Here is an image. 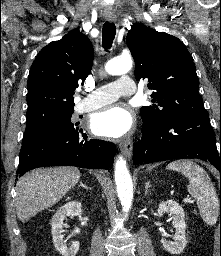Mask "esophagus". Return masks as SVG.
Returning <instances> with one entry per match:
<instances>
[{
    "label": "esophagus",
    "instance_id": "esophagus-1",
    "mask_svg": "<svg viewBox=\"0 0 221 256\" xmlns=\"http://www.w3.org/2000/svg\"><path fill=\"white\" fill-rule=\"evenodd\" d=\"M108 21L112 22L114 21L113 17H108ZM119 148L122 151V153L126 156V157H130L132 154V150H133V141L130 138H127L123 141H121L119 143Z\"/></svg>",
    "mask_w": 221,
    "mask_h": 256
}]
</instances>
